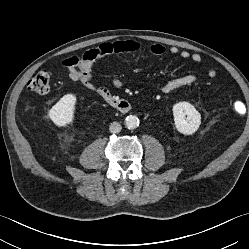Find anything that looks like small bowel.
Returning <instances> with one entry per match:
<instances>
[{
    "label": "small bowel",
    "instance_id": "c3829d8e",
    "mask_svg": "<svg viewBox=\"0 0 249 249\" xmlns=\"http://www.w3.org/2000/svg\"><path fill=\"white\" fill-rule=\"evenodd\" d=\"M143 46L135 40H115L103 42L97 47L89 50L83 57L73 56L64 60L63 64L67 70V76L70 80L80 82L87 89L102 96L109 92L104 85H97L93 82L92 70L94 65L101 59L114 55H138L143 52ZM149 51L156 56L164 55L166 52L172 55H179L183 59H188L199 63L202 57L198 53H192L187 50H180L177 46L165 47L161 43H154L150 46ZM207 76L214 78L216 71L213 68H207ZM197 76L194 74L184 75L166 82L160 92L163 94L171 93L177 89L191 86L197 82ZM112 84L116 88L124 85V80L120 77H113Z\"/></svg>",
    "mask_w": 249,
    "mask_h": 249
}]
</instances>
